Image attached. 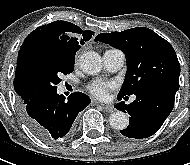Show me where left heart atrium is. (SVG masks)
Returning a JSON list of instances; mask_svg holds the SVG:
<instances>
[{"label": "left heart atrium", "mask_w": 190, "mask_h": 165, "mask_svg": "<svg viewBox=\"0 0 190 165\" xmlns=\"http://www.w3.org/2000/svg\"><path fill=\"white\" fill-rule=\"evenodd\" d=\"M115 88V83L97 79L88 85L89 92L98 99L105 100L109 97L111 90Z\"/></svg>", "instance_id": "1"}]
</instances>
